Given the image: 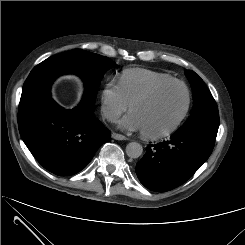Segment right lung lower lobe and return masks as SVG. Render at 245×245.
<instances>
[{
  "mask_svg": "<svg viewBox=\"0 0 245 245\" xmlns=\"http://www.w3.org/2000/svg\"><path fill=\"white\" fill-rule=\"evenodd\" d=\"M18 127L32 155L59 176L82 170L111 136L92 110L80 105L66 110L51 97L29 112L18 113Z\"/></svg>",
  "mask_w": 245,
  "mask_h": 245,
  "instance_id": "1",
  "label": "right lung lower lobe"
}]
</instances>
